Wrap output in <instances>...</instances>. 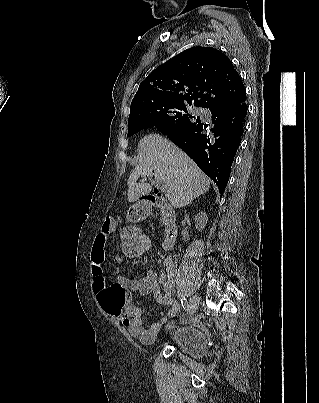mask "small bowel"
I'll list each match as a JSON object with an SVG mask.
<instances>
[{
    "instance_id": "1",
    "label": "small bowel",
    "mask_w": 319,
    "mask_h": 403,
    "mask_svg": "<svg viewBox=\"0 0 319 403\" xmlns=\"http://www.w3.org/2000/svg\"><path fill=\"white\" fill-rule=\"evenodd\" d=\"M114 230L115 215L108 213L105 222L99 227V235L92 249L91 272L93 276V290L97 294L101 312L117 315L132 337L143 344H150L155 340L163 321L167 317L172 316L176 310L171 296L174 265L171 259L165 258L163 261L165 269L161 268L157 273L154 267H150L142 278L129 279L120 276V283L107 284L104 260L109 243L108 235ZM121 261L122 259L118 258V262ZM150 293L153 294L158 302L169 306L170 310L166 314H163L160 319L146 324L142 318L141 309L138 306V295L144 296Z\"/></svg>"
}]
</instances>
